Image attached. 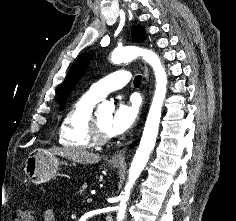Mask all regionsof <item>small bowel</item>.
I'll return each mask as SVG.
<instances>
[{"label":"small bowel","instance_id":"1","mask_svg":"<svg viewBox=\"0 0 236 221\" xmlns=\"http://www.w3.org/2000/svg\"><path fill=\"white\" fill-rule=\"evenodd\" d=\"M43 221H57L56 213L53 209H47L43 214Z\"/></svg>","mask_w":236,"mask_h":221}]
</instances>
